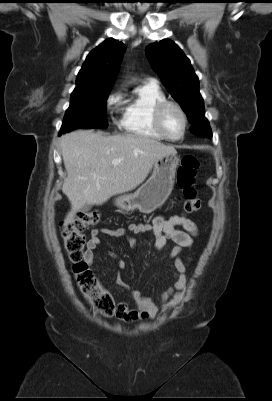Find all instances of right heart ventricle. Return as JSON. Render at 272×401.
Wrapping results in <instances>:
<instances>
[{
	"label": "right heart ventricle",
	"instance_id": "e07e8e85",
	"mask_svg": "<svg viewBox=\"0 0 272 401\" xmlns=\"http://www.w3.org/2000/svg\"><path fill=\"white\" fill-rule=\"evenodd\" d=\"M165 100L164 92L156 84L138 86L124 108L122 130L137 138L164 140L154 125L153 114L156 106Z\"/></svg>",
	"mask_w": 272,
	"mask_h": 401
}]
</instances>
